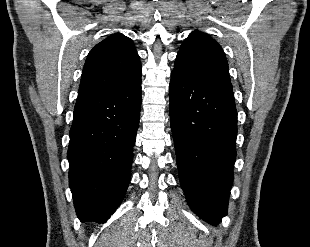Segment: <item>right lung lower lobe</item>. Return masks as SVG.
Returning a JSON list of instances; mask_svg holds the SVG:
<instances>
[{"label": "right lung lower lobe", "instance_id": "obj_1", "mask_svg": "<svg viewBox=\"0 0 310 247\" xmlns=\"http://www.w3.org/2000/svg\"><path fill=\"white\" fill-rule=\"evenodd\" d=\"M140 108L141 82L129 89L78 95L67 157L81 221H106L124 198Z\"/></svg>", "mask_w": 310, "mask_h": 247}]
</instances>
